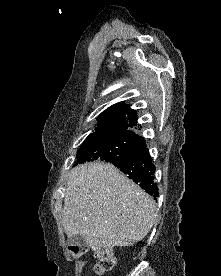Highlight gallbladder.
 Listing matches in <instances>:
<instances>
[{
  "label": "gallbladder",
  "instance_id": "gallbladder-1",
  "mask_svg": "<svg viewBox=\"0 0 221 276\" xmlns=\"http://www.w3.org/2000/svg\"><path fill=\"white\" fill-rule=\"evenodd\" d=\"M68 245H75V246H86L85 239L82 235L76 234L68 238L67 240Z\"/></svg>",
  "mask_w": 221,
  "mask_h": 276
}]
</instances>
